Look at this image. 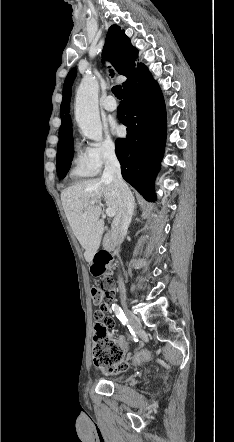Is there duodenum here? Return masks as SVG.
Segmentation results:
<instances>
[{"label": "duodenum", "mask_w": 234, "mask_h": 442, "mask_svg": "<svg viewBox=\"0 0 234 442\" xmlns=\"http://www.w3.org/2000/svg\"><path fill=\"white\" fill-rule=\"evenodd\" d=\"M105 243H106V250L111 251L113 249V243H112V240L109 236L106 237ZM107 251H103V252L107 253Z\"/></svg>", "instance_id": "duodenum-1"}]
</instances>
